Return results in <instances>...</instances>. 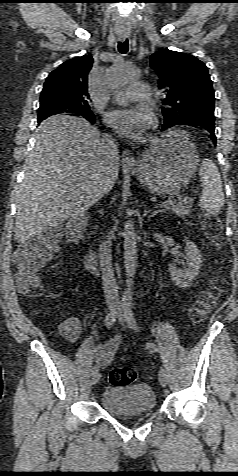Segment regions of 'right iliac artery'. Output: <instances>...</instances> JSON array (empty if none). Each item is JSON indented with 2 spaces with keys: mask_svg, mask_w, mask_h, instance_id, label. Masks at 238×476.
<instances>
[{
  "mask_svg": "<svg viewBox=\"0 0 238 476\" xmlns=\"http://www.w3.org/2000/svg\"><path fill=\"white\" fill-rule=\"evenodd\" d=\"M124 307L122 305H120L117 309L111 311L105 318V325L108 329H110L113 324L115 323L116 321V318L118 316V314L120 313V311L123 309ZM99 370V366L98 365H95L92 367V372H97Z\"/></svg>",
  "mask_w": 238,
  "mask_h": 476,
  "instance_id": "right-iliac-artery-1",
  "label": "right iliac artery"
}]
</instances>
